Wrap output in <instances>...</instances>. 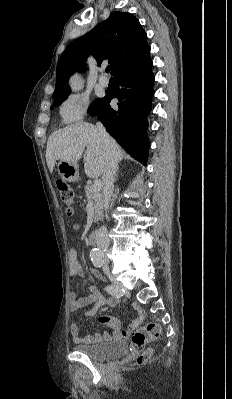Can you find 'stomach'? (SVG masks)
<instances>
[{"label": "stomach", "instance_id": "stomach-1", "mask_svg": "<svg viewBox=\"0 0 232 399\" xmlns=\"http://www.w3.org/2000/svg\"><path fill=\"white\" fill-rule=\"evenodd\" d=\"M58 174L65 182H78L79 172L77 164H69L65 160H60L57 164Z\"/></svg>", "mask_w": 232, "mask_h": 399}]
</instances>
